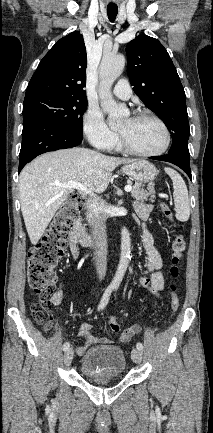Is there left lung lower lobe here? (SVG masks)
I'll use <instances>...</instances> for the list:
<instances>
[{
  "label": "left lung lower lobe",
  "mask_w": 213,
  "mask_h": 433,
  "mask_svg": "<svg viewBox=\"0 0 213 433\" xmlns=\"http://www.w3.org/2000/svg\"><path fill=\"white\" fill-rule=\"evenodd\" d=\"M150 158L154 160L170 162L177 165L183 171H185L189 178L192 180L189 157L177 153H168L164 156H153Z\"/></svg>",
  "instance_id": "obj_1"
}]
</instances>
